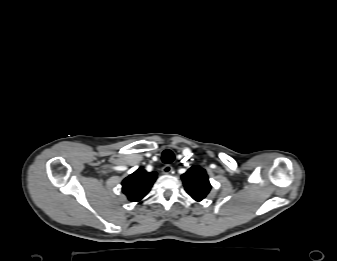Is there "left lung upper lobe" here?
<instances>
[{
	"instance_id": "left-lung-upper-lobe-1",
	"label": "left lung upper lobe",
	"mask_w": 337,
	"mask_h": 261,
	"mask_svg": "<svg viewBox=\"0 0 337 261\" xmlns=\"http://www.w3.org/2000/svg\"><path fill=\"white\" fill-rule=\"evenodd\" d=\"M186 192L195 200H203L211 189L206 171L199 166H192L182 175Z\"/></svg>"
}]
</instances>
